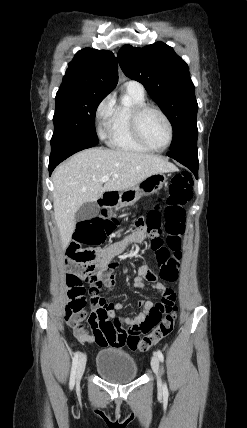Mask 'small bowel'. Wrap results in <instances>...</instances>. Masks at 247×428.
I'll list each match as a JSON object with an SVG mask.
<instances>
[{
  "instance_id": "1",
  "label": "small bowel",
  "mask_w": 247,
  "mask_h": 428,
  "mask_svg": "<svg viewBox=\"0 0 247 428\" xmlns=\"http://www.w3.org/2000/svg\"><path fill=\"white\" fill-rule=\"evenodd\" d=\"M145 237V230L138 229L132 234H130L128 237H126L124 240L117 242L108 248L97 251L96 254L98 256L99 263L107 270V278L104 281L103 286L111 290L115 288V276L113 271L117 267V263L113 261L114 257L121 254L129 245L139 244L143 242L145 240ZM155 280L156 275L151 271L149 265L144 264L138 269L137 275L133 281V285L136 288L145 289L148 286L146 281L153 282L151 284V288L156 292L160 293L162 295V298H171L174 300V291L161 282H154ZM90 295L92 297L93 303H101L108 308V315L113 320H119L124 324L133 326V322L137 321L138 318H149V309H147L144 305L142 311L135 317L118 316L117 312L123 309L122 303L108 302L105 297L100 294V292H98L92 287L90 288ZM74 335L82 343L95 342L100 346L109 345L104 339H102V341L100 342L95 341L93 336L88 333L83 335H77L74 333Z\"/></svg>"
}]
</instances>
